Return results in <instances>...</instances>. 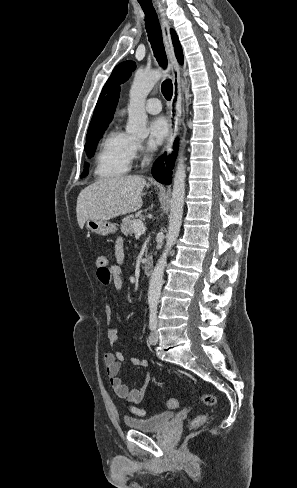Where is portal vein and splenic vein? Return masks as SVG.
Instances as JSON below:
<instances>
[{
	"mask_svg": "<svg viewBox=\"0 0 297 488\" xmlns=\"http://www.w3.org/2000/svg\"><path fill=\"white\" fill-rule=\"evenodd\" d=\"M133 228L135 231V237L138 238L145 233L146 227L141 220H137L133 223Z\"/></svg>",
	"mask_w": 297,
	"mask_h": 488,
	"instance_id": "18ae733b",
	"label": "portal vein and splenic vein"
}]
</instances>
